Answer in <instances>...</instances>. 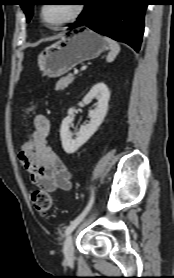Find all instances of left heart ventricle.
I'll use <instances>...</instances> for the list:
<instances>
[{
    "label": "left heart ventricle",
    "mask_w": 174,
    "mask_h": 278,
    "mask_svg": "<svg viewBox=\"0 0 174 278\" xmlns=\"http://www.w3.org/2000/svg\"><path fill=\"white\" fill-rule=\"evenodd\" d=\"M74 4H47L43 9L45 21L50 25H56L67 19L74 11Z\"/></svg>",
    "instance_id": "left-heart-ventricle-1"
}]
</instances>
